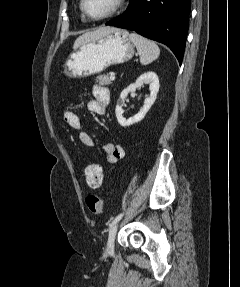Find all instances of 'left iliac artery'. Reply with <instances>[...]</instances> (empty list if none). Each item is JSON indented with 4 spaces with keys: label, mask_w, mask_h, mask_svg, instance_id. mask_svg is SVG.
Here are the masks:
<instances>
[{
    "label": "left iliac artery",
    "mask_w": 240,
    "mask_h": 287,
    "mask_svg": "<svg viewBox=\"0 0 240 287\" xmlns=\"http://www.w3.org/2000/svg\"><path fill=\"white\" fill-rule=\"evenodd\" d=\"M124 213H120L116 218L112 221V223L109 225V227H112L114 224H116L122 217Z\"/></svg>",
    "instance_id": "left-iliac-artery-1"
}]
</instances>
